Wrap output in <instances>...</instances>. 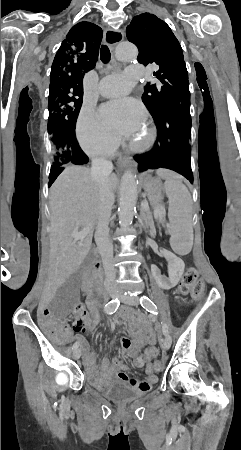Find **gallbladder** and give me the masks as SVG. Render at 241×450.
<instances>
[{
	"label": "gallbladder",
	"instance_id": "1",
	"mask_svg": "<svg viewBox=\"0 0 241 450\" xmlns=\"http://www.w3.org/2000/svg\"><path fill=\"white\" fill-rule=\"evenodd\" d=\"M81 276L74 272L67 276V281H62L56 293L54 301L50 302L55 320H66L68 315H73L75 305H79V282Z\"/></svg>",
	"mask_w": 241,
	"mask_h": 450
}]
</instances>
